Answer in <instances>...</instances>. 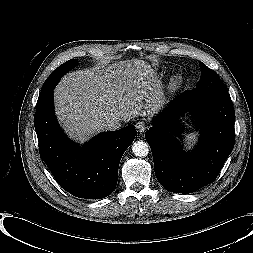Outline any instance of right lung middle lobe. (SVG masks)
Wrapping results in <instances>:
<instances>
[{
  "label": "right lung middle lobe",
  "mask_w": 253,
  "mask_h": 253,
  "mask_svg": "<svg viewBox=\"0 0 253 253\" xmlns=\"http://www.w3.org/2000/svg\"><path fill=\"white\" fill-rule=\"evenodd\" d=\"M77 64L78 62L75 59H71L55 69L44 82L38 100L45 98V96L55 88L61 77L68 71L72 70L75 66H77Z\"/></svg>",
  "instance_id": "obj_1"
}]
</instances>
